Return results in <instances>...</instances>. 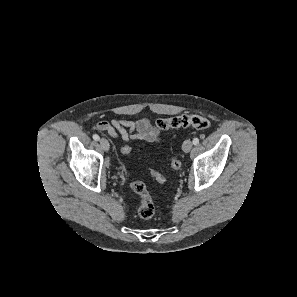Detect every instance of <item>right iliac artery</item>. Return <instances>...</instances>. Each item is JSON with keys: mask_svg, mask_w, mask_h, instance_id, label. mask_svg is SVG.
<instances>
[{"mask_svg": "<svg viewBox=\"0 0 297 297\" xmlns=\"http://www.w3.org/2000/svg\"><path fill=\"white\" fill-rule=\"evenodd\" d=\"M93 139H94L95 141H98L100 138H99V136H98L97 134H94V135H93Z\"/></svg>", "mask_w": 297, "mask_h": 297, "instance_id": "right-iliac-artery-1", "label": "right iliac artery"}]
</instances>
